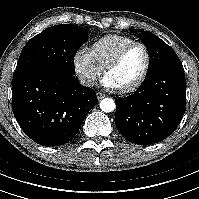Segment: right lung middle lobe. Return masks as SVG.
Returning a JSON list of instances; mask_svg holds the SVG:
<instances>
[{
    "mask_svg": "<svg viewBox=\"0 0 199 199\" xmlns=\"http://www.w3.org/2000/svg\"><path fill=\"white\" fill-rule=\"evenodd\" d=\"M87 35L86 29L72 24L45 29L24 46L13 77L44 69L74 75V56L87 41Z\"/></svg>",
    "mask_w": 199,
    "mask_h": 199,
    "instance_id": "right-lung-middle-lobe-1",
    "label": "right lung middle lobe"
}]
</instances>
